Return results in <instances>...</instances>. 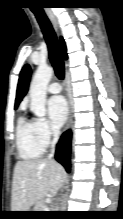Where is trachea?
Listing matches in <instances>:
<instances>
[{
    "instance_id": "trachea-1",
    "label": "trachea",
    "mask_w": 123,
    "mask_h": 219,
    "mask_svg": "<svg viewBox=\"0 0 123 219\" xmlns=\"http://www.w3.org/2000/svg\"><path fill=\"white\" fill-rule=\"evenodd\" d=\"M34 14L46 40L50 61L55 70V74L62 80L64 78V62L61 56L56 33L44 11H34Z\"/></svg>"
}]
</instances>
